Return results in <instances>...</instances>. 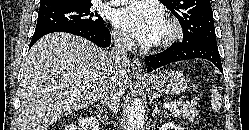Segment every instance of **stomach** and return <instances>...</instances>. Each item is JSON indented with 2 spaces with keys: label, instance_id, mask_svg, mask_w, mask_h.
I'll return each mask as SVG.
<instances>
[{
  "label": "stomach",
  "instance_id": "1",
  "mask_svg": "<svg viewBox=\"0 0 249 130\" xmlns=\"http://www.w3.org/2000/svg\"><path fill=\"white\" fill-rule=\"evenodd\" d=\"M151 87L167 95H176L187 89L188 80L179 71L172 69L161 70L147 79Z\"/></svg>",
  "mask_w": 249,
  "mask_h": 130
}]
</instances>
